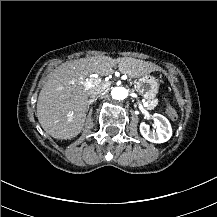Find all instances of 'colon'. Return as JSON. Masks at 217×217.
Masks as SVG:
<instances>
[{
    "label": "colon",
    "mask_w": 217,
    "mask_h": 217,
    "mask_svg": "<svg viewBox=\"0 0 217 217\" xmlns=\"http://www.w3.org/2000/svg\"><path fill=\"white\" fill-rule=\"evenodd\" d=\"M161 102L164 106H167L169 103V95L166 92H162L161 95Z\"/></svg>",
    "instance_id": "colon-1"
}]
</instances>
